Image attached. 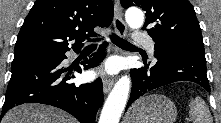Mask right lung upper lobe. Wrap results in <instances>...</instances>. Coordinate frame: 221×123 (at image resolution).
I'll list each match as a JSON object with an SVG mask.
<instances>
[{"label":"right lung upper lobe","instance_id":"1","mask_svg":"<svg viewBox=\"0 0 221 123\" xmlns=\"http://www.w3.org/2000/svg\"><path fill=\"white\" fill-rule=\"evenodd\" d=\"M113 19L111 0H36L24 20L15 55L65 54L68 41L79 51L85 38L96 36L93 28L107 27Z\"/></svg>","mask_w":221,"mask_h":123}]
</instances>
